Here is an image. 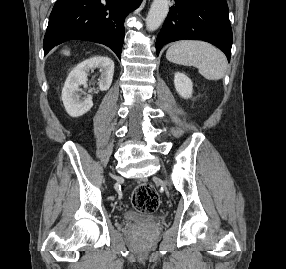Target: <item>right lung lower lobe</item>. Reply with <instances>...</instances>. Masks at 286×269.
Wrapping results in <instances>:
<instances>
[{
  "mask_svg": "<svg viewBox=\"0 0 286 269\" xmlns=\"http://www.w3.org/2000/svg\"><path fill=\"white\" fill-rule=\"evenodd\" d=\"M142 0H57L49 17L43 48L74 39L110 47L120 58L124 42V19Z\"/></svg>",
  "mask_w": 286,
  "mask_h": 269,
  "instance_id": "1",
  "label": "right lung lower lobe"
}]
</instances>
